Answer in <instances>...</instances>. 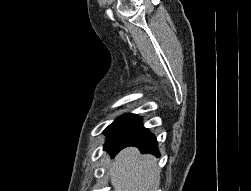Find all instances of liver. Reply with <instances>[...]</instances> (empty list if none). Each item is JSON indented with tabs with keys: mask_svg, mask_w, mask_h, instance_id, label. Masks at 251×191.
Here are the masks:
<instances>
[{
	"mask_svg": "<svg viewBox=\"0 0 251 191\" xmlns=\"http://www.w3.org/2000/svg\"><path fill=\"white\" fill-rule=\"evenodd\" d=\"M105 157L109 159L107 153ZM157 173L154 155H141L138 147H125L111 163L110 181L114 191H149Z\"/></svg>",
	"mask_w": 251,
	"mask_h": 191,
	"instance_id": "liver-1",
	"label": "liver"
}]
</instances>
